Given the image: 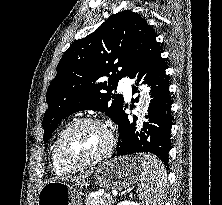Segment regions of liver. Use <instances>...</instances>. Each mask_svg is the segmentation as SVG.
<instances>
[{
  "mask_svg": "<svg viewBox=\"0 0 222 205\" xmlns=\"http://www.w3.org/2000/svg\"><path fill=\"white\" fill-rule=\"evenodd\" d=\"M89 175L86 174V175H83V176H78V177H74V178H66V179H63L65 181H72V182H79V181H84Z\"/></svg>",
  "mask_w": 222,
  "mask_h": 205,
  "instance_id": "6515ba94",
  "label": "liver"
}]
</instances>
